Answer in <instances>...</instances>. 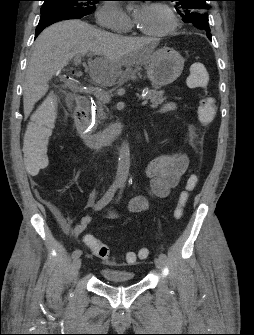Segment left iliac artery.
I'll use <instances>...</instances> for the list:
<instances>
[{
  "instance_id": "left-iliac-artery-1",
  "label": "left iliac artery",
  "mask_w": 254,
  "mask_h": 335,
  "mask_svg": "<svg viewBox=\"0 0 254 335\" xmlns=\"http://www.w3.org/2000/svg\"><path fill=\"white\" fill-rule=\"evenodd\" d=\"M158 256H159V258L164 259V260L167 258L166 254L163 253V252L159 253Z\"/></svg>"
}]
</instances>
